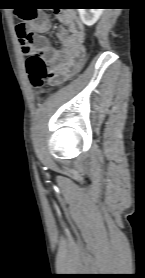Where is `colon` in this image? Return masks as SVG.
I'll return each instance as SVG.
<instances>
[{
	"instance_id": "5ec220e1",
	"label": "colon",
	"mask_w": 145,
	"mask_h": 278,
	"mask_svg": "<svg viewBox=\"0 0 145 278\" xmlns=\"http://www.w3.org/2000/svg\"><path fill=\"white\" fill-rule=\"evenodd\" d=\"M21 17L27 21L35 17V14L31 10H23ZM18 36L20 43L23 46L25 52L30 53L31 48L35 43L33 35L26 30L22 24L18 26ZM26 71L30 84L35 88H40L45 80L50 77V69L41 54L30 53L26 61ZM75 73V69L66 68L60 78L52 80L53 85H62Z\"/></svg>"
}]
</instances>
